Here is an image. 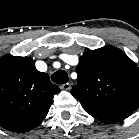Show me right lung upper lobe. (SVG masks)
<instances>
[{"label":"right lung upper lobe","instance_id":"right-lung-upper-lobe-1","mask_svg":"<svg viewBox=\"0 0 139 139\" xmlns=\"http://www.w3.org/2000/svg\"><path fill=\"white\" fill-rule=\"evenodd\" d=\"M60 89L46 73L35 68L33 59L5 55L0 58V126L27 132L46 117Z\"/></svg>","mask_w":139,"mask_h":139}]
</instances>
